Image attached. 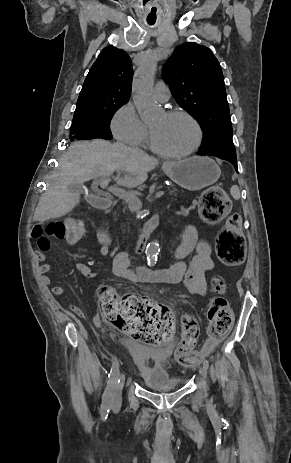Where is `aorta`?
Here are the masks:
<instances>
[{
  "instance_id": "762f6f07",
  "label": "aorta",
  "mask_w": 291,
  "mask_h": 463,
  "mask_svg": "<svg viewBox=\"0 0 291 463\" xmlns=\"http://www.w3.org/2000/svg\"><path fill=\"white\" fill-rule=\"evenodd\" d=\"M156 68V58L154 56H149V58L137 69L133 80L132 98L142 119H147L154 113L155 104L152 93ZM159 250V243L157 240L149 244L146 252L149 265L156 263Z\"/></svg>"
}]
</instances>
